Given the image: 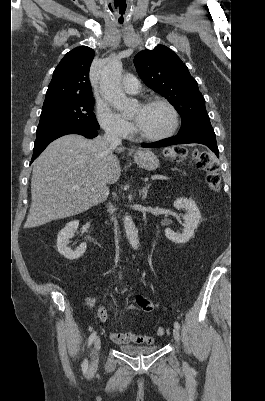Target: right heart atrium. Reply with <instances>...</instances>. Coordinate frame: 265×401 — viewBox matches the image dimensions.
I'll return each instance as SVG.
<instances>
[{
	"instance_id": "d8ad5b80",
	"label": "right heart atrium",
	"mask_w": 265,
	"mask_h": 401,
	"mask_svg": "<svg viewBox=\"0 0 265 401\" xmlns=\"http://www.w3.org/2000/svg\"><path fill=\"white\" fill-rule=\"evenodd\" d=\"M96 116L100 127L109 137L125 138L133 134V126L104 102L97 105Z\"/></svg>"
}]
</instances>
